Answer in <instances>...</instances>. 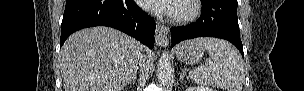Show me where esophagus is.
<instances>
[{"instance_id":"1","label":"esophagus","mask_w":304,"mask_h":91,"mask_svg":"<svg viewBox=\"0 0 304 91\" xmlns=\"http://www.w3.org/2000/svg\"><path fill=\"white\" fill-rule=\"evenodd\" d=\"M155 40L157 44L162 46H166L169 43L168 28L158 21L156 22Z\"/></svg>"}]
</instances>
